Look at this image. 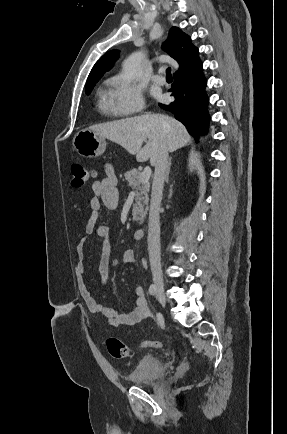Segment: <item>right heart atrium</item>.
Instances as JSON below:
<instances>
[{
	"label": "right heart atrium",
	"mask_w": 287,
	"mask_h": 434,
	"mask_svg": "<svg viewBox=\"0 0 287 434\" xmlns=\"http://www.w3.org/2000/svg\"><path fill=\"white\" fill-rule=\"evenodd\" d=\"M108 101L116 115H131L144 107L142 88L122 75L114 76L109 81Z\"/></svg>",
	"instance_id": "1"
}]
</instances>
